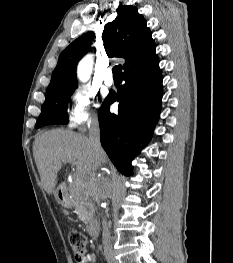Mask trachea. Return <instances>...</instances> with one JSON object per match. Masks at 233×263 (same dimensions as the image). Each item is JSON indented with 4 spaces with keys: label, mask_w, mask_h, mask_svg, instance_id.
Returning <instances> with one entry per match:
<instances>
[{
    "label": "trachea",
    "mask_w": 233,
    "mask_h": 263,
    "mask_svg": "<svg viewBox=\"0 0 233 263\" xmlns=\"http://www.w3.org/2000/svg\"><path fill=\"white\" fill-rule=\"evenodd\" d=\"M113 77L115 79H121L122 78V66L117 65L113 68Z\"/></svg>",
    "instance_id": "1"
}]
</instances>
